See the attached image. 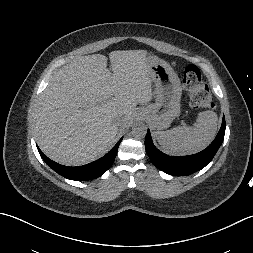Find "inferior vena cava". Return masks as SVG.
Masks as SVG:
<instances>
[{
  "label": "inferior vena cava",
  "instance_id": "inferior-vena-cava-1",
  "mask_svg": "<svg viewBox=\"0 0 253 253\" xmlns=\"http://www.w3.org/2000/svg\"><path fill=\"white\" fill-rule=\"evenodd\" d=\"M126 121L121 119V118H116V120L114 121V126L118 129H125L126 128Z\"/></svg>",
  "mask_w": 253,
  "mask_h": 253
}]
</instances>
